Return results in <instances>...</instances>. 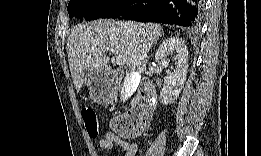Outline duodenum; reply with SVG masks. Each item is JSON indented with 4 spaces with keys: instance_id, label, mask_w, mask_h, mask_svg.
Returning <instances> with one entry per match:
<instances>
[{
    "instance_id": "410a0bca",
    "label": "duodenum",
    "mask_w": 261,
    "mask_h": 156,
    "mask_svg": "<svg viewBox=\"0 0 261 156\" xmlns=\"http://www.w3.org/2000/svg\"><path fill=\"white\" fill-rule=\"evenodd\" d=\"M156 91L152 84L143 82L139 98L135 101L134 108L130 112L129 122L136 125L140 122L147 121L154 112V100Z\"/></svg>"
}]
</instances>
